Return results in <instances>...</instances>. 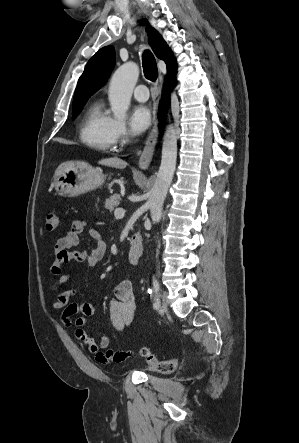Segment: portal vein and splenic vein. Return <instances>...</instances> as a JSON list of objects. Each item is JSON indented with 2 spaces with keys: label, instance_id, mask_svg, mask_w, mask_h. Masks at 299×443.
<instances>
[{
  "label": "portal vein and splenic vein",
  "instance_id": "portal-vein-and-splenic-vein-1",
  "mask_svg": "<svg viewBox=\"0 0 299 443\" xmlns=\"http://www.w3.org/2000/svg\"><path fill=\"white\" fill-rule=\"evenodd\" d=\"M125 215V210L123 208H117L114 212L116 219H122Z\"/></svg>",
  "mask_w": 299,
  "mask_h": 443
}]
</instances>
